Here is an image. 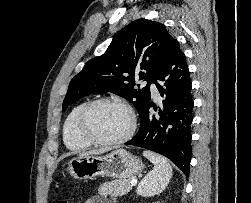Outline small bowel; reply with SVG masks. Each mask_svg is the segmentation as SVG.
<instances>
[{
  "label": "small bowel",
  "instance_id": "1",
  "mask_svg": "<svg viewBox=\"0 0 251 203\" xmlns=\"http://www.w3.org/2000/svg\"><path fill=\"white\" fill-rule=\"evenodd\" d=\"M85 203H112V202L101 195H95L88 198Z\"/></svg>",
  "mask_w": 251,
  "mask_h": 203
}]
</instances>
